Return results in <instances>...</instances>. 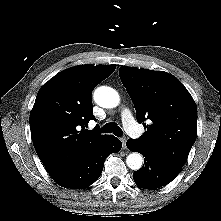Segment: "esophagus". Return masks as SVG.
<instances>
[{"label": "esophagus", "instance_id": "esophagus-1", "mask_svg": "<svg viewBox=\"0 0 221 221\" xmlns=\"http://www.w3.org/2000/svg\"><path fill=\"white\" fill-rule=\"evenodd\" d=\"M126 138L125 137H122L121 138V142H122V144H123V149H126L127 147H126Z\"/></svg>", "mask_w": 221, "mask_h": 221}]
</instances>
